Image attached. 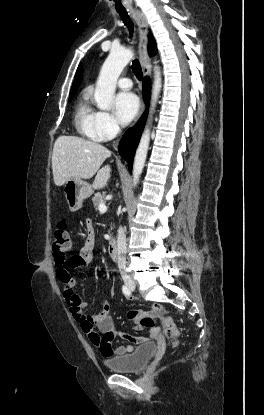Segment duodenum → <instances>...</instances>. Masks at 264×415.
<instances>
[{
    "label": "duodenum",
    "mask_w": 264,
    "mask_h": 415,
    "mask_svg": "<svg viewBox=\"0 0 264 415\" xmlns=\"http://www.w3.org/2000/svg\"><path fill=\"white\" fill-rule=\"evenodd\" d=\"M106 243H107V252H108L109 258L111 260H115L117 256L116 240L114 238H109Z\"/></svg>",
    "instance_id": "1"
}]
</instances>
